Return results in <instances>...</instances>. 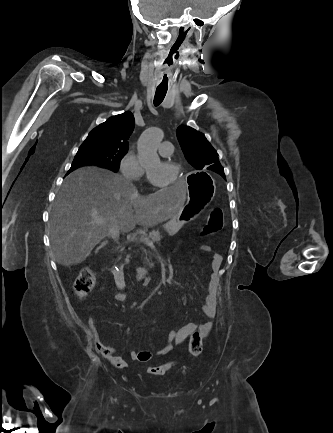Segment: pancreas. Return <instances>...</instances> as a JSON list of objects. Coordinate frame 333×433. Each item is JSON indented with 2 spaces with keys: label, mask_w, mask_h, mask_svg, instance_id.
I'll return each instance as SVG.
<instances>
[{
  "label": "pancreas",
  "mask_w": 333,
  "mask_h": 433,
  "mask_svg": "<svg viewBox=\"0 0 333 433\" xmlns=\"http://www.w3.org/2000/svg\"><path fill=\"white\" fill-rule=\"evenodd\" d=\"M147 238L154 243H159L162 236L160 234L159 230H153L152 232H150L147 236Z\"/></svg>",
  "instance_id": "1"
}]
</instances>
